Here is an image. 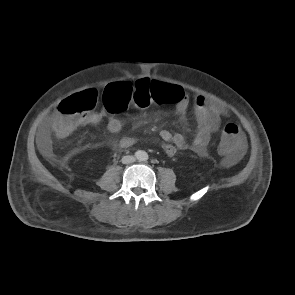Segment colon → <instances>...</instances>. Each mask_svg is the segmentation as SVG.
<instances>
[{"label": "colon", "instance_id": "colon-1", "mask_svg": "<svg viewBox=\"0 0 295 295\" xmlns=\"http://www.w3.org/2000/svg\"><path fill=\"white\" fill-rule=\"evenodd\" d=\"M175 86L150 81L138 82L135 86L128 82H117L105 87L102 95L103 104L111 112H123L131 102L136 110H148L150 102L167 103L177 99ZM98 100L97 92L86 90L72 95L59 103L53 132L58 138L71 135L83 119L95 108ZM241 141L240 129L234 123L223 126L220 147L224 152L238 148Z\"/></svg>", "mask_w": 295, "mask_h": 295}]
</instances>
